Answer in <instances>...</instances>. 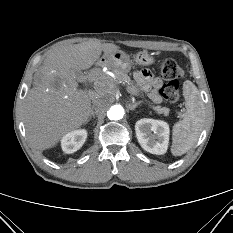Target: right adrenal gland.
<instances>
[{
    "label": "right adrenal gland",
    "instance_id": "right-adrenal-gland-1",
    "mask_svg": "<svg viewBox=\"0 0 233 233\" xmlns=\"http://www.w3.org/2000/svg\"><path fill=\"white\" fill-rule=\"evenodd\" d=\"M93 118H95V112L93 110H91V113H90V116H89V119L87 121V123Z\"/></svg>",
    "mask_w": 233,
    "mask_h": 233
}]
</instances>
